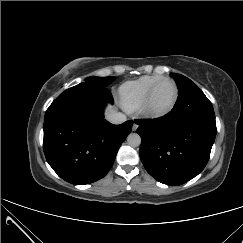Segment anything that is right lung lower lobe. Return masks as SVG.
Returning <instances> with one entry per match:
<instances>
[{"label": "right lung lower lobe", "mask_w": 243, "mask_h": 243, "mask_svg": "<svg viewBox=\"0 0 243 243\" xmlns=\"http://www.w3.org/2000/svg\"><path fill=\"white\" fill-rule=\"evenodd\" d=\"M107 101L112 102V98L106 87L83 82L65 90L46 111V160L71 184H89L103 178L131 132V120L114 125L104 119Z\"/></svg>", "instance_id": "98d812e1"}]
</instances>
